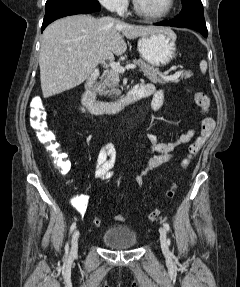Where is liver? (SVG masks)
Masks as SVG:
<instances>
[{"label":"liver","mask_w":240,"mask_h":287,"mask_svg":"<svg viewBox=\"0 0 240 287\" xmlns=\"http://www.w3.org/2000/svg\"><path fill=\"white\" fill-rule=\"evenodd\" d=\"M171 31L163 26H138L112 17L95 19L74 15L59 19L43 32L39 53L40 81L44 98L83 83L99 63L113 60L126 49L124 37L134 39L156 32Z\"/></svg>","instance_id":"liver-1"}]
</instances>
